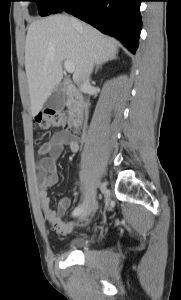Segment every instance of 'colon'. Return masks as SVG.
<instances>
[{"label":"colon","instance_id":"1","mask_svg":"<svg viewBox=\"0 0 181 300\" xmlns=\"http://www.w3.org/2000/svg\"><path fill=\"white\" fill-rule=\"evenodd\" d=\"M35 125L41 130L50 128L69 129V119L65 113L56 109H45L35 117Z\"/></svg>","mask_w":181,"mask_h":300}]
</instances>
